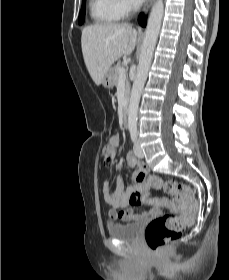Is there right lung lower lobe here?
<instances>
[{
	"label": "right lung lower lobe",
	"mask_w": 229,
	"mask_h": 280,
	"mask_svg": "<svg viewBox=\"0 0 229 280\" xmlns=\"http://www.w3.org/2000/svg\"><path fill=\"white\" fill-rule=\"evenodd\" d=\"M139 23H140V25L141 26H145V24H146V19H145V17H144V15L143 14H141L140 16H139Z\"/></svg>",
	"instance_id": "1"
}]
</instances>
